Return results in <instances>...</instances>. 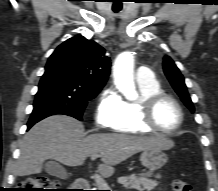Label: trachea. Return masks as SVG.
<instances>
[{
    "instance_id": "obj_1",
    "label": "trachea",
    "mask_w": 218,
    "mask_h": 191,
    "mask_svg": "<svg viewBox=\"0 0 218 191\" xmlns=\"http://www.w3.org/2000/svg\"><path fill=\"white\" fill-rule=\"evenodd\" d=\"M120 10L121 9L113 8V11L116 12V13L119 12Z\"/></svg>"
}]
</instances>
